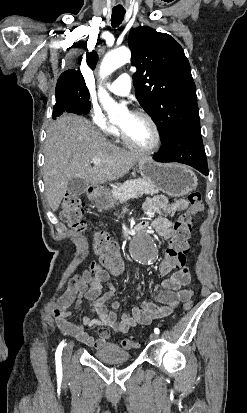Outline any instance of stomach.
Instances as JSON below:
<instances>
[{"instance_id":"1","label":"stomach","mask_w":247,"mask_h":413,"mask_svg":"<svg viewBox=\"0 0 247 413\" xmlns=\"http://www.w3.org/2000/svg\"><path fill=\"white\" fill-rule=\"evenodd\" d=\"M138 166L144 180H148L155 188L169 196H184L191 190H196L198 178L194 170L186 164L156 162L153 156H144ZM91 198L98 209H111L116 204V198H113L110 190H93Z\"/></svg>"}]
</instances>
